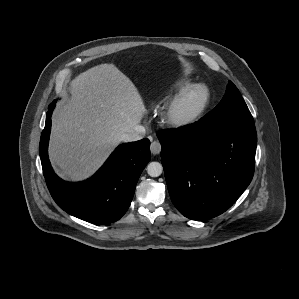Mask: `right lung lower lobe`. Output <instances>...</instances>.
<instances>
[{"label":"right lung lower lobe","instance_id":"1","mask_svg":"<svg viewBox=\"0 0 299 299\" xmlns=\"http://www.w3.org/2000/svg\"><path fill=\"white\" fill-rule=\"evenodd\" d=\"M56 101L48 107L39 153L47 187L57 205L67 213L94 224L119 220L132 201L137 181L151 159L150 141L118 146L90 179L69 183L54 174L48 158L51 115Z\"/></svg>","mask_w":299,"mask_h":299}]
</instances>
